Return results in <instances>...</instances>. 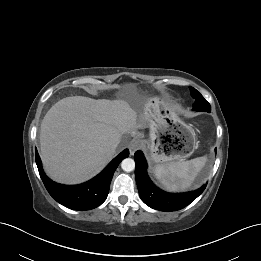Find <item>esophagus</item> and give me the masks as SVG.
I'll list each match as a JSON object with an SVG mask.
<instances>
[{
	"instance_id": "34e87169",
	"label": "esophagus",
	"mask_w": 261,
	"mask_h": 261,
	"mask_svg": "<svg viewBox=\"0 0 261 261\" xmlns=\"http://www.w3.org/2000/svg\"><path fill=\"white\" fill-rule=\"evenodd\" d=\"M143 145V142L140 138H135L130 143V152L133 154L136 150L140 149Z\"/></svg>"
}]
</instances>
